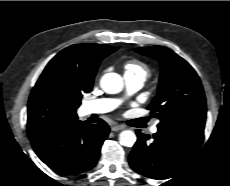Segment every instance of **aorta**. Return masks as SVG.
<instances>
[{
	"label": "aorta",
	"mask_w": 230,
	"mask_h": 186,
	"mask_svg": "<svg viewBox=\"0 0 230 186\" xmlns=\"http://www.w3.org/2000/svg\"><path fill=\"white\" fill-rule=\"evenodd\" d=\"M100 86L106 93H119L124 86L123 78L117 73H107L101 78ZM119 142L123 146L132 147L136 142V135L131 130L122 131L119 134Z\"/></svg>",
	"instance_id": "762f6f07"
}]
</instances>
